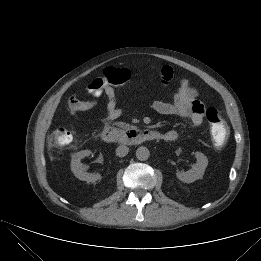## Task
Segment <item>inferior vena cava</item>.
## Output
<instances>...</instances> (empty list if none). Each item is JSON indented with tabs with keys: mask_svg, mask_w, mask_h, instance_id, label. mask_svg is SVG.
<instances>
[{
	"mask_svg": "<svg viewBox=\"0 0 261 261\" xmlns=\"http://www.w3.org/2000/svg\"><path fill=\"white\" fill-rule=\"evenodd\" d=\"M128 152H129V148L125 145H120L116 149V155L118 157H124L128 154Z\"/></svg>",
	"mask_w": 261,
	"mask_h": 261,
	"instance_id": "602c4592",
	"label": "inferior vena cava"
}]
</instances>
